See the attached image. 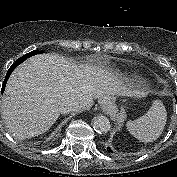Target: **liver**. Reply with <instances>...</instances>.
Segmentation results:
<instances>
[{
  "label": "liver",
  "mask_w": 177,
  "mask_h": 177,
  "mask_svg": "<svg viewBox=\"0 0 177 177\" xmlns=\"http://www.w3.org/2000/svg\"><path fill=\"white\" fill-rule=\"evenodd\" d=\"M112 73L94 65L75 64L54 53L39 54L11 74L3 98L2 117L10 133L22 140L43 134L60 116L68 99L88 109L93 99L129 95Z\"/></svg>",
  "instance_id": "6515ba94"
}]
</instances>
